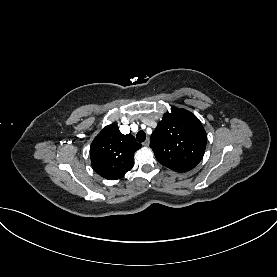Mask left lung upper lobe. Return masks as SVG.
I'll return each mask as SVG.
<instances>
[{
  "mask_svg": "<svg viewBox=\"0 0 277 277\" xmlns=\"http://www.w3.org/2000/svg\"><path fill=\"white\" fill-rule=\"evenodd\" d=\"M206 132L191 112L172 108L151 135L150 147L157 160L176 172L193 169L203 158Z\"/></svg>",
  "mask_w": 277,
  "mask_h": 277,
  "instance_id": "left-lung-upper-lobe-1",
  "label": "left lung upper lobe"
}]
</instances>
